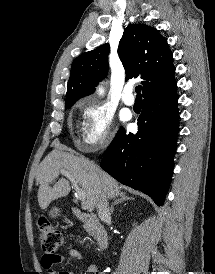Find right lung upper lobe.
Instances as JSON below:
<instances>
[{
    "label": "right lung upper lobe",
    "instance_id": "1",
    "mask_svg": "<svg viewBox=\"0 0 215 274\" xmlns=\"http://www.w3.org/2000/svg\"><path fill=\"white\" fill-rule=\"evenodd\" d=\"M109 48V44H103L74 59L65 105H73L80 97L94 92L107 72ZM118 55L126 80H142L143 97L176 83L173 54L156 28L145 24L127 26L119 42Z\"/></svg>",
    "mask_w": 215,
    "mask_h": 274
}]
</instances>
